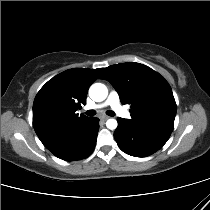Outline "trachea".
<instances>
[{
  "mask_svg": "<svg viewBox=\"0 0 210 210\" xmlns=\"http://www.w3.org/2000/svg\"><path fill=\"white\" fill-rule=\"evenodd\" d=\"M95 114H96V111L95 110H88L86 112V115H88V116H94ZM106 114L109 115V116H114L115 115V113L112 110H108L106 112Z\"/></svg>",
  "mask_w": 210,
  "mask_h": 210,
  "instance_id": "obj_1",
  "label": "trachea"
}]
</instances>
